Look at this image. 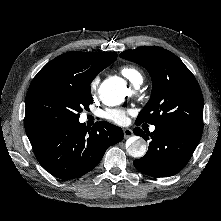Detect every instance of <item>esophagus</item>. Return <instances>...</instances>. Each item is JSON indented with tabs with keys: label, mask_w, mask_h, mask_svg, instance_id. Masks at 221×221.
<instances>
[{
	"label": "esophagus",
	"mask_w": 221,
	"mask_h": 221,
	"mask_svg": "<svg viewBox=\"0 0 221 221\" xmlns=\"http://www.w3.org/2000/svg\"><path fill=\"white\" fill-rule=\"evenodd\" d=\"M123 133H124V137H125V138H128V137H130V136L133 135L132 130L129 129V128H125V129L123 130Z\"/></svg>",
	"instance_id": "1"
}]
</instances>
